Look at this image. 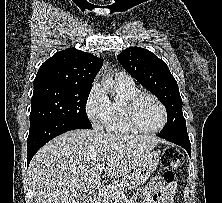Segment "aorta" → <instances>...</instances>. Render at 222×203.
<instances>
[{"instance_id":"762f6f07","label":"aorta","mask_w":222,"mask_h":203,"mask_svg":"<svg viewBox=\"0 0 222 203\" xmlns=\"http://www.w3.org/2000/svg\"><path fill=\"white\" fill-rule=\"evenodd\" d=\"M104 90L111 92L114 90V83L112 81L104 82L103 83Z\"/></svg>"}]
</instances>
